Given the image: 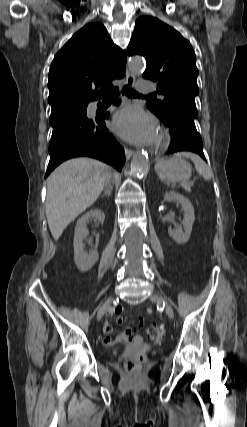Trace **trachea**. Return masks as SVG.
I'll return each mask as SVG.
<instances>
[{
    "label": "trachea",
    "instance_id": "trachea-1",
    "mask_svg": "<svg viewBox=\"0 0 247 427\" xmlns=\"http://www.w3.org/2000/svg\"><path fill=\"white\" fill-rule=\"evenodd\" d=\"M123 92L128 97L141 96L139 93H137L135 90H133L129 86H124ZM104 94H105V98H116L119 95V90L116 87L115 88H111V89L105 91ZM150 96H152V95H150Z\"/></svg>",
    "mask_w": 247,
    "mask_h": 427
}]
</instances>
